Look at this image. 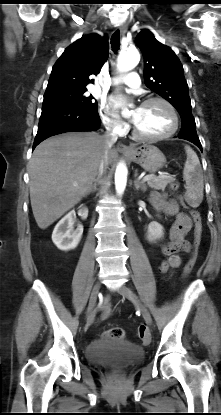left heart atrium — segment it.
Masks as SVG:
<instances>
[{
  "label": "left heart atrium",
  "mask_w": 221,
  "mask_h": 415,
  "mask_svg": "<svg viewBox=\"0 0 221 415\" xmlns=\"http://www.w3.org/2000/svg\"><path fill=\"white\" fill-rule=\"evenodd\" d=\"M114 107H118V103L116 101L113 102Z\"/></svg>",
  "instance_id": "1"
}]
</instances>
